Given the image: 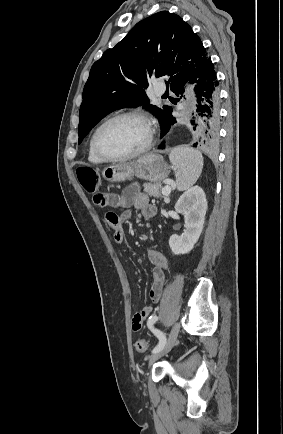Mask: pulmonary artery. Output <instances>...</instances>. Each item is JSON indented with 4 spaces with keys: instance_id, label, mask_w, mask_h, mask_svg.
Returning <instances> with one entry per match:
<instances>
[{
    "instance_id": "obj_1",
    "label": "pulmonary artery",
    "mask_w": 283,
    "mask_h": 434,
    "mask_svg": "<svg viewBox=\"0 0 283 434\" xmlns=\"http://www.w3.org/2000/svg\"><path fill=\"white\" fill-rule=\"evenodd\" d=\"M165 91H166V87H165V85L163 83H157L154 86V92L157 95H162V94L165 93Z\"/></svg>"
}]
</instances>
